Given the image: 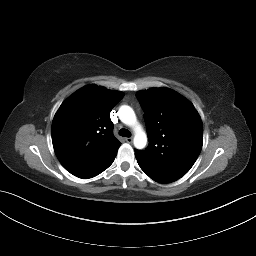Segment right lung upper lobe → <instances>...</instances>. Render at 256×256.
Returning a JSON list of instances; mask_svg holds the SVG:
<instances>
[{
	"label": "right lung upper lobe",
	"instance_id": "obj_1",
	"mask_svg": "<svg viewBox=\"0 0 256 256\" xmlns=\"http://www.w3.org/2000/svg\"><path fill=\"white\" fill-rule=\"evenodd\" d=\"M119 91L85 86L66 99L52 122L55 154L69 172L117 154L121 143L113 135L112 108L123 98Z\"/></svg>",
	"mask_w": 256,
	"mask_h": 256
}]
</instances>
